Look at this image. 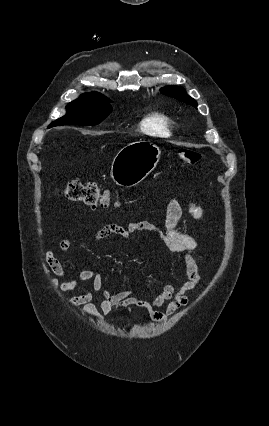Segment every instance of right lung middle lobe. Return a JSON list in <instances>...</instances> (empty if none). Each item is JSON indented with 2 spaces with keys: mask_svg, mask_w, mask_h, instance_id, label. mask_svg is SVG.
I'll use <instances>...</instances> for the list:
<instances>
[{
  "mask_svg": "<svg viewBox=\"0 0 269 426\" xmlns=\"http://www.w3.org/2000/svg\"><path fill=\"white\" fill-rule=\"evenodd\" d=\"M110 100L103 98H86L71 102L67 107V114L52 122L54 126L77 124L97 125L112 111Z\"/></svg>",
  "mask_w": 269,
  "mask_h": 426,
  "instance_id": "obj_1",
  "label": "right lung middle lobe"
}]
</instances>
